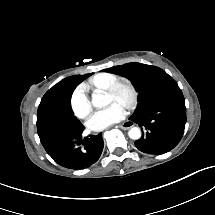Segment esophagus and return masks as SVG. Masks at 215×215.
Segmentation results:
<instances>
[{
  "mask_svg": "<svg viewBox=\"0 0 215 215\" xmlns=\"http://www.w3.org/2000/svg\"><path fill=\"white\" fill-rule=\"evenodd\" d=\"M133 126H134V122L133 121H125L119 127L121 129H123V130H127V129L133 127Z\"/></svg>",
  "mask_w": 215,
  "mask_h": 215,
  "instance_id": "1",
  "label": "esophagus"
}]
</instances>
